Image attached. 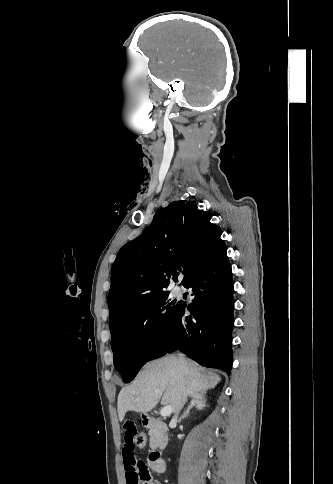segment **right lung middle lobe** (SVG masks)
<instances>
[{"mask_svg":"<svg viewBox=\"0 0 333 484\" xmlns=\"http://www.w3.org/2000/svg\"><path fill=\"white\" fill-rule=\"evenodd\" d=\"M179 306L165 294L136 308L110 327L114 366L125 383L132 381L149 361L154 348L170 329Z\"/></svg>","mask_w":333,"mask_h":484,"instance_id":"1","label":"right lung middle lobe"}]
</instances>
